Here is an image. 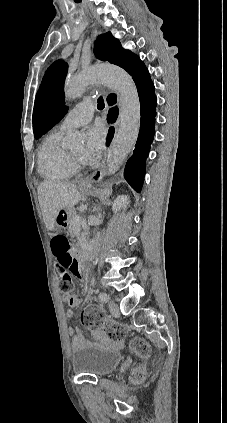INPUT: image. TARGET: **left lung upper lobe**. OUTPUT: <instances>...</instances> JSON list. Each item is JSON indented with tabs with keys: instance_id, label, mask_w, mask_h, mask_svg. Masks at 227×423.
I'll list each match as a JSON object with an SVG mask.
<instances>
[{
	"instance_id": "left-lung-upper-lobe-1",
	"label": "left lung upper lobe",
	"mask_w": 227,
	"mask_h": 423,
	"mask_svg": "<svg viewBox=\"0 0 227 423\" xmlns=\"http://www.w3.org/2000/svg\"><path fill=\"white\" fill-rule=\"evenodd\" d=\"M95 55L100 60H107L125 69L137 84L148 72L140 58L122 48L120 42L110 32L101 35L95 43ZM67 63L54 62L46 72L39 91L36 94L33 109V126L35 138L41 137L58 123L67 113L64 105V80ZM109 105L116 103V95L107 97Z\"/></svg>"
}]
</instances>
